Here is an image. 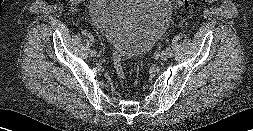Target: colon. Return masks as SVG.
Listing matches in <instances>:
<instances>
[{"mask_svg": "<svg viewBox=\"0 0 253 131\" xmlns=\"http://www.w3.org/2000/svg\"><path fill=\"white\" fill-rule=\"evenodd\" d=\"M216 0H176V6L179 8H188L193 5H197L199 2L202 3H213ZM113 65L115 72L120 80H125V73L122 65V59L118 52H113Z\"/></svg>", "mask_w": 253, "mask_h": 131, "instance_id": "obj_1", "label": "colon"}]
</instances>
